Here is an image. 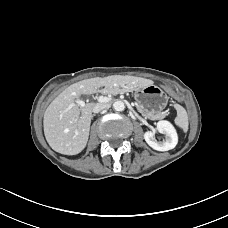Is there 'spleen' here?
I'll list each match as a JSON object with an SVG mask.
<instances>
[{"instance_id":"1","label":"spleen","mask_w":228,"mask_h":228,"mask_svg":"<svg viewBox=\"0 0 228 228\" xmlns=\"http://www.w3.org/2000/svg\"><path fill=\"white\" fill-rule=\"evenodd\" d=\"M174 107L177 111V117L174 120L175 124L184 132H187L189 123L186 110L179 104H175Z\"/></svg>"}]
</instances>
